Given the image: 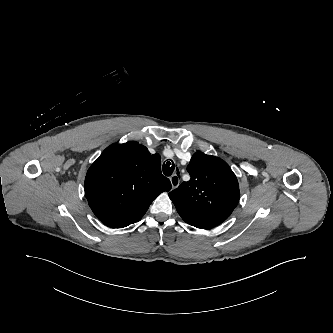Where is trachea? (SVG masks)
Listing matches in <instances>:
<instances>
[{
    "label": "trachea",
    "mask_w": 333,
    "mask_h": 333,
    "mask_svg": "<svg viewBox=\"0 0 333 333\" xmlns=\"http://www.w3.org/2000/svg\"><path fill=\"white\" fill-rule=\"evenodd\" d=\"M167 161V160H166ZM171 161V162H170ZM163 163V174L165 176H171L173 171L175 170V164L172 160ZM178 171V169H177Z\"/></svg>",
    "instance_id": "3493384b"
}]
</instances>
